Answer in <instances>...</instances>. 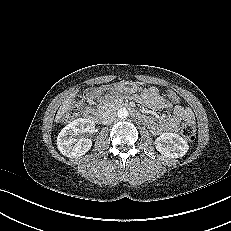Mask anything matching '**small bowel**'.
Returning a JSON list of instances; mask_svg holds the SVG:
<instances>
[{"mask_svg": "<svg viewBox=\"0 0 231 231\" xmlns=\"http://www.w3.org/2000/svg\"><path fill=\"white\" fill-rule=\"evenodd\" d=\"M135 100L150 109H161L170 112L167 117H143V122L148 125L154 134L173 132L177 130L180 122L194 121V114L190 108L171 103L155 87L145 89L141 94L135 96Z\"/></svg>", "mask_w": 231, "mask_h": 231, "instance_id": "1", "label": "small bowel"}]
</instances>
